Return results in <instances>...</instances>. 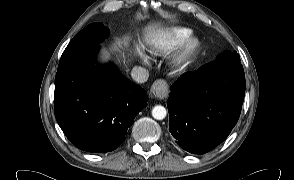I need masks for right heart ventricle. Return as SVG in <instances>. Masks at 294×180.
<instances>
[{"instance_id": "1", "label": "right heart ventricle", "mask_w": 294, "mask_h": 180, "mask_svg": "<svg viewBox=\"0 0 294 180\" xmlns=\"http://www.w3.org/2000/svg\"><path fill=\"white\" fill-rule=\"evenodd\" d=\"M184 36L179 33L171 32L160 34L153 37L148 42V50L157 56H164L170 53L182 40Z\"/></svg>"}]
</instances>
